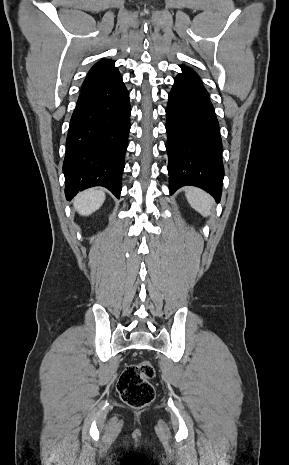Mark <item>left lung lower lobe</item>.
<instances>
[{"label": "left lung lower lobe", "instance_id": "left-lung-lower-lobe-1", "mask_svg": "<svg viewBox=\"0 0 289 465\" xmlns=\"http://www.w3.org/2000/svg\"><path fill=\"white\" fill-rule=\"evenodd\" d=\"M166 108L169 190L185 185L204 189L220 201L224 167L219 123L197 74H178Z\"/></svg>", "mask_w": 289, "mask_h": 465}]
</instances>
